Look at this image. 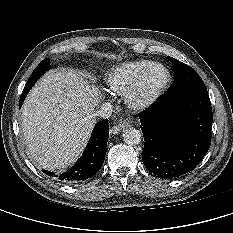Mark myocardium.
<instances>
[{
  "label": "myocardium",
  "instance_id": "myocardium-1",
  "mask_svg": "<svg viewBox=\"0 0 233 233\" xmlns=\"http://www.w3.org/2000/svg\"><path fill=\"white\" fill-rule=\"evenodd\" d=\"M157 68L165 72L163 82L152 91H145V84L150 74ZM171 83V73L169 69L161 64L155 63L147 68L136 81L125 92V101L134 110H144L153 105L166 91Z\"/></svg>",
  "mask_w": 233,
  "mask_h": 233
}]
</instances>
